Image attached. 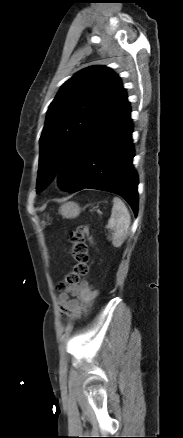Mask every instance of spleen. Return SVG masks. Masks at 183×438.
<instances>
[{"mask_svg":"<svg viewBox=\"0 0 183 438\" xmlns=\"http://www.w3.org/2000/svg\"><path fill=\"white\" fill-rule=\"evenodd\" d=\"M130 222V213L125 204L120 198H113V207L107 228L114 230L110 237L114 247H120L127 238L130 230Z\"/></svg>","mask_w":183,"mask_h":438,"instance_id":"obj_1","label":"spleen"}]
</instances>
